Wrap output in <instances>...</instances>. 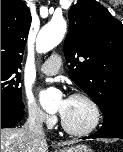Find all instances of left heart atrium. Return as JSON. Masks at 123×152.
<instances>
[{
    "label": "left heart atrium",
    "mask_w": 123,
    "mask_h": 152,
    "mask_svg": "<svg viewBox=\"0 0 123 152\" xmlns=\"http://www.w3.org/2000/svg\"><path fill=\"white\" fill-rule=\"evenodd\" d=\"M68 99H64L63 100V103H65ZM60 114L62 115V112L60 111Z\"/></svg>",
    "instance_id": "1"
}]
</instances>
